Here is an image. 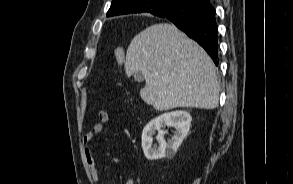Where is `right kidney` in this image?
Wrapping results in <instances>:
<instances>
[{"label": "right kidney", "instance_id": "1", "mask_svg": "<svg viewBox=\"0 0 293 184\" xmlns=\"http://www.w3.org/2000/svg\"><path fill=\"white\" fill-rule=\"evenodd\" d=\"M192 117L187 111H172L164 113L150 121L142 132V148L148 160H159L162 158H173L183 139L187 136ZM175 129L171 140L166 142L163 138L165 127ZM163 128V129H162ZM158 131L156 139L159 146L152 147L153 135Z\"/></svg>", "mask_w": 293, "mask_h": 184}]
</instances>
